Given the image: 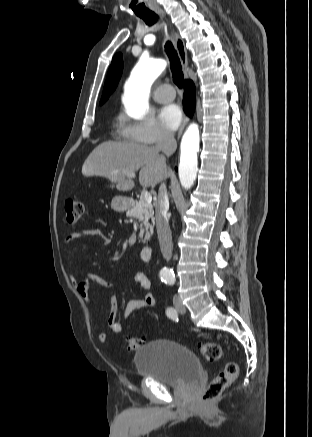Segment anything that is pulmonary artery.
I'll use <instances>...</instances> for the list:
<instances>
[{"label": "pulmonary artery", "instance_id": "e3ab8cb5", "mask_svg": "<svg viewBox=\"0 0 312 437\" xmlns=\"http://www.w3.org/2000/svg\"><path fill=\"white\" fill-rule=\"evenodd\" d=\"M153 98L160 103L171 102L175 98V92L170 85L163 84L155 89Z\"/></svg>", "mask_w": 312, "mask_h": 437}]
</instances>
